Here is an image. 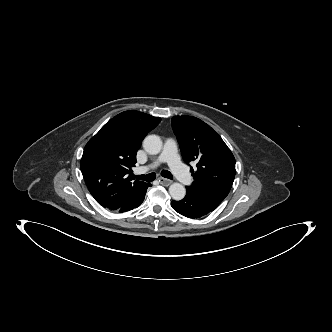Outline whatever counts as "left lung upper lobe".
<instances>
[{
    "label": "left lung upper lobe",
    "instance_id": "obj_1",
    "mask_svg": "<svg viewBox=\"0 0 332 332\" xmlns=\"http://www.w3.org/2000/svg\"><path fill=\"white\" fill-rule=\"evenodd\" d=\"M172 128L185 162H196L186 190L217 207L228 195L235 177V158L222 138L206 123L191 116L172 117Z\"/></svg>",
    "mask_w": 332,
    "mask_h": 332
}]
</instances>
